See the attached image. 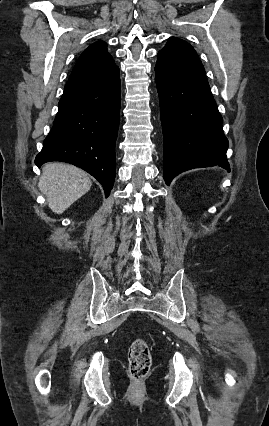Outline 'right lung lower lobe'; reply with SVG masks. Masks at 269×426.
<instances>
[{
	"instance_id": "98d812e1",
	"label": "right lung lower lobe",
	"mask_w": 269,
	"mask_h": 426,
	"mask_svg": "<svg viewBox=\"0 0 269 426\" xmlns=\"http://www.w3.org/2000/svg\"><path fill=\"white\" fill-rule=\"evenodd\" d=\"M120 91L117 66L102 74L69 79L35 164L63 161L78 166L102 184L107 197L116 172Z\"/></svg>"
}]
</instances>
